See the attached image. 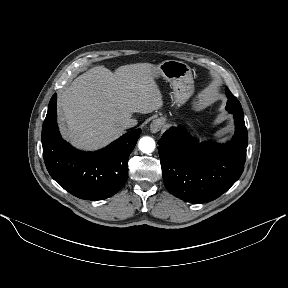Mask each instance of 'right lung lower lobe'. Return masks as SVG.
Segmentation results:
<instances>
[{
    "label": "right lung lower lobe",
    "instance_id": "1",
    "mask_svg": "<svg viewBox=\"0 0 288 288\" xmlns=\"http://www.w3.org/2000/svg\"><path fill=\"white\" fill-rule=\"evenodd\" d=\"M54 94L42 127V147L50 176L72 195L85 200H103L116 194L128 176V158L141 130L126 133L105 149L81 152L66 143L56 123Z\"/></svg>",
    "mask_w": 288,
    "mask_h": 288
}]
</instances>
